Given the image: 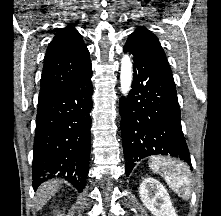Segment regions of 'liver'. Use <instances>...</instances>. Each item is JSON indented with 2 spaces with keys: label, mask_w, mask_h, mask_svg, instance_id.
<instances>
[{
  "label": "liver",
  "mask_w": 221,
  "mask_h": 216,
  "mask_svg": "<svg viewBox=\"0 0 221 216\" xmlns=\"http://www.w3.org/2000/svg\"><path fill=\"white\" fill-rule=\"evenodd\" d=\"M61 180L52 179L43 183L37 190L36 193V209H41L59 190Z\"/></svg>",
  "instance_id": "liver-1"
}]
</instances>
